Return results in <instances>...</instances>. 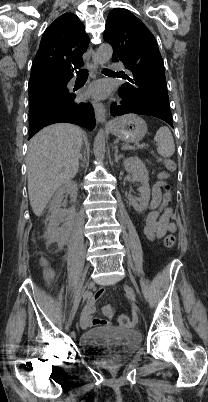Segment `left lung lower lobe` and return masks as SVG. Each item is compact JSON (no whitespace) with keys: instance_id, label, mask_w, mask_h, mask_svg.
Segmentation results:
<instances>
[{"instance_id":"left-lung-lower-lobe-1","label":"left lung lower lobe","mask_w":208,"mask_h":402,"mask_svg":"<svg viewBox=\"0 0 208 402\" xmlns=\"http://www.w3.org/2000/svg\"><path fill=\"white\" fill-rule=\"evenodd\" d=\"M119 97L121 99L120 105H112L111 107L110 112L112 116H121L129 113L149 115L160 118L173 127L169 107L150 101H138L137 98H132L129 94L124 93L121 88L119 89Z\"/></svg>"}]
</instances>
